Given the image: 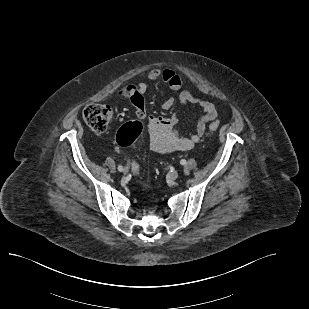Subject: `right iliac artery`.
I'll use <instances>...</instances> for the list:
<instances>
[{"label":"right iliac artery","instance_id":"1","mask_svg":"<svg viewBox=\"0 0 309 309\" xmlns=\"http://www.w3.org/2000/svg\"><path fill=\"white\" fill-rule=\"evenodd\" d=\"M118 170H119V171H122V170H123V167H122L121 165H119V166H118Z\"/></svg>","mask_w":309,"mask_h":309}]
</instances>
